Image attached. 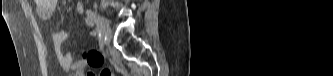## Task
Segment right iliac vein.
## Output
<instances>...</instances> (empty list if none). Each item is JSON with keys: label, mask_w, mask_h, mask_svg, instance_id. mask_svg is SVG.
<instances>
[{"label": "right iliac vein", "mask_w": 333, "mask_h": 76, "mask_svg": "<svg viewBox=\"0 0 333 76\" xmlns=\"http://www.w3.org/2000/svg\"><path fill=\"white\" fill-rule=\"evenodd\" d=\"M99 24H100L103 38L105 40L109 41L112 37V31H111L108 21L103 16H99Z\"/></svg>", "instance_id": "obj_1"}]
</instances>
